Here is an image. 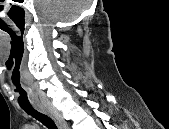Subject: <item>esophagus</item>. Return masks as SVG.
Masks as SVG:
<instances>
[{"mask_svg": "<svg viewBox=\"0 0 169 129\" xmlns=\"http://www.w3.org/2000/svg\"><path fill=\"white\" fill-rule=\"evenodd\" d=\"M34 107H35L38 111H40V112H42V113H44V114H48L47 110H46L42 105L36 104V105H34Z\"/></svg>", "mask_w": 169, "mask_h": 129, "instance_id": "34e87169", "label": "esophagus"}]
</instances>
